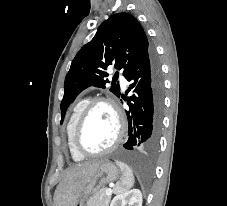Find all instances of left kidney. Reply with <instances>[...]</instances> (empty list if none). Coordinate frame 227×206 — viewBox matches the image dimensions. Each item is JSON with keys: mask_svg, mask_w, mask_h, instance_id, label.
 <instances>
[{"mask_svg": "<svg viewBox=\"0 0 227 206\" xmlns=\"http://www.w3.org/2000/svg\"><path fill=\"white\" fill-rule=\"evenodd\" d=\"M142 206V194L138 189H132L116 195L110 206Z\"/></svg>", "mask_w": 227, "mask_h": 206, "instance_id": "left-kidney-1", "label": "left kidney"}]
</instances>
